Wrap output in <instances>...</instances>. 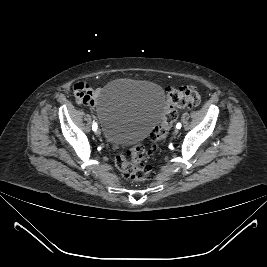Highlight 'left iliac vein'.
<instances>
[{
    "instance_id": "1",
    "label": "left iliac vein",
    "mask_w": 267,
    "mask_h": 267,
    "mask_svg": "<svg viewBox=\"0 0 267 267\" xmlns=\"http://www.w3.org/2000/svg\"><path fill=\"white\" fill-rule=\"evenodd\" d=\"M179 133L178 128L174 130V135H177Z\"/></svg>"
}]
</instances>
